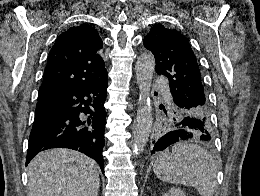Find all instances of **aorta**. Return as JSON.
I'll return each mask as SVG.
<instances>
[{"mask_svg":"<svg viewBox=\"0 0 260 196\" xmlns=\"http://www.w3.org/2000/svg\"><path fill=\"white\" fill-rule=\"evenodd\" d=\"M154 70V56L151 53L141 54L135 65L137 85L140 91L137 117L132 126L131 147L135 154L143 152L152 128L153 117L150 90Z\"/></svg>","mask_w":260,"mask_h":196,"instance_id":"1","label":"aorta"}]
</instances>
